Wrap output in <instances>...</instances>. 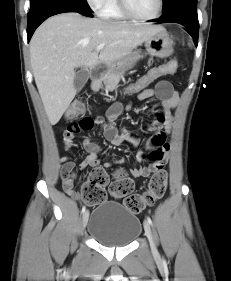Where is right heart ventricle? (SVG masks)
<instances>
[{
    "label": "right heart ventricle",
    "mask_w": 231,
    "mask_h": 281,
    "mask_svg": "<svg viewBox=\"0 0 231 281\" xmlns=\"http://www.w3.org/2000/svg\"><path fill=\"white\" fill-rule=\"evenodd\" d=\"M101 16L106 20L121 21L126 17L120 10L118 0H109L104 9L101 11Z\"/></svg>",
    "instance_id": "right-heart-ventricle-1"
}]
</instances>
